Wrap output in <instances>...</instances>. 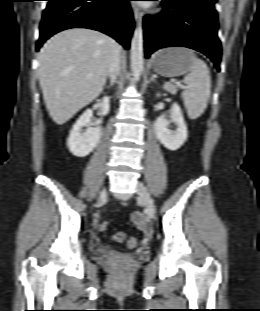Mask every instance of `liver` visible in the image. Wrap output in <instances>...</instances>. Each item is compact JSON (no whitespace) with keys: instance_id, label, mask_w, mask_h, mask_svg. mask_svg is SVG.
I'll return each mask as SVG.
<instances>
[{"instance_id":"6515ba94","label":"liver","mask_w":260,"mask_h":311,"mask_svg":"<svg viewBox=\"0 0 260 311\" xmlns=\"http://www.w3.org/2000/svg\"><path fill=\"white\" fill-rule=\"evenodd\" d=\"M114 40L73 28L54 35L39 53V82L50 117L62 125L96 99L108 75Z\"/></svg>"}]
</instances>
